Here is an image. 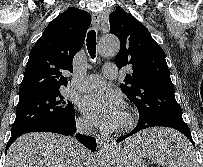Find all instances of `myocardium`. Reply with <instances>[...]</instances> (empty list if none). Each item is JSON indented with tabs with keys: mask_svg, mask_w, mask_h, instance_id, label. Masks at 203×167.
Here are the masks:
<instances>
[{
	"mask_svg": "<svg viewBox=\"0 0 203 167\" xmlns=\"http://www.w3.org/2000/svg\"><path fill=\"white\" fill-rule=\"evenodd\" d=\"M135 123V118L132 113H126L123 117L122 122L119 124L117 130L120 132H125L130 130Z\"/></svg>",
	"mask_w": 203,
	"mask_h": 167,
	"instance_id": "myocardium-1",
	"label": "myocardium"
}]
</instances>
